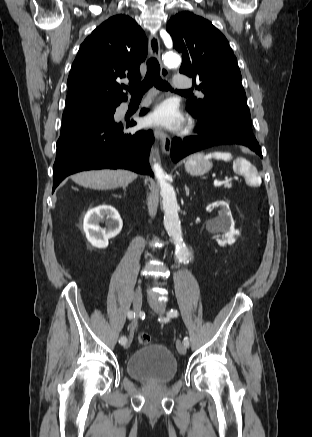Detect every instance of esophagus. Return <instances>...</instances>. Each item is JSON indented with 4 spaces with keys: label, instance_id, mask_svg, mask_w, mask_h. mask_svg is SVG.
<instances>
[{
    "label": "esophagus",
    "instance_id": "34e87169",
    "mask_svg": "<svg viewBox=\"0 0 312 437\" xmlns=\"http://www.w3.org/2000/svg\"><path fill=\"white\" fill-rule=\"evenodd\" d=\"M149 49L152 57L160 60V42L158 37L155 34H151L149 36ZM161 74L163 76H168V70L161 66ZM155 137L159 139L162 143V149L165 154H169L171 151V138L170 136L160 128H156L154 130Z\"/></svg>",
    "mask_w": 312,
    "mask_h": 437
}]
</instances>
